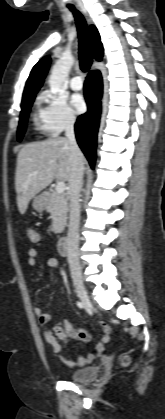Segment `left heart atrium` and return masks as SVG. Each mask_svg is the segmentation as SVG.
I'll use <instances>...</instances> for the list:
<instances>
[{
    "label": "left heart atrium",
    "mask_w": 165,
    "mask_h": 419,
    "mask_svg": "<svg viewBox=\"0 0 165 419\" xmlns=\"http://www.w3.org/2000/svg\"><path fill=\"white\" fill-rule=\"evenodd\" d=\"M72 105L76 109L78 113H82L86 109V103L83 99V97L80 94H75L72 96Z\"/></svg>",
    "instance_id": "39dd6f15"
}]
</instances>
